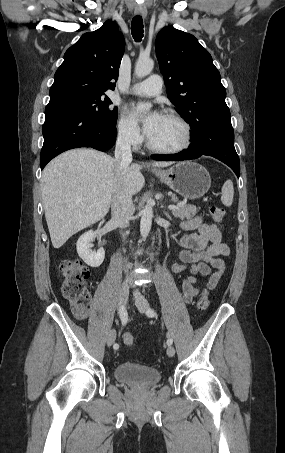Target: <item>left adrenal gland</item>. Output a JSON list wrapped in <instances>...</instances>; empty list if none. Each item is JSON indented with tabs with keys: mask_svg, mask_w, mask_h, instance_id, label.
I'll list each match as a JSON object with an SVG mask.
<instances>
[{
	"mask_svg": "<svg viewBox=\"0 0 285 453\" xmlns=\"http://www.w3.org/2000/svg\"><path fill=\"white\" fill-rule=\"evenodd\" d=\"M163 213L165 214V216H166L169 220H172V219H171V216L169 215L168 212H165V211H164Z\"/></svg>",
	"mask_w": 285,
	"mask_h": 453,
	"instance_id": "obj_1",
	"label": "left adrenal gland"
}]
</instances>
